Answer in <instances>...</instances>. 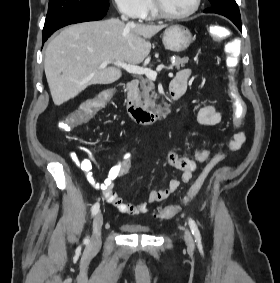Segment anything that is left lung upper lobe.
Returning <instances> with one entry per match:
<instances>
[{"label":"left lung upper lobe","mask_w":280,"mask_h":283,"mask_svg":"<svg viewBox=\"0 0 280 283\" xmlns=\"http://www.w3.org/2000/svg\"><path fill=\"white\" fill-rule=\"evenodd\" d=\"M212 8L204 10L205 13H217L224 15L230 20H238L241 22V16L238 5L235 0H209Z\"/></svg>","instance_id":"obj_1"}]
</instances>
